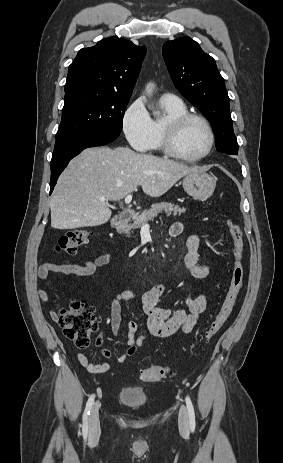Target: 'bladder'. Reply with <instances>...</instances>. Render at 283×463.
<instances>
[{"label":"bladder","instance_id":"31cf9c89","mask_svg":"<svg viewBox=\"0 0 283 463\" xmlns=\"http://www.w3.org/2000/svg\"><path fill=\"white\" fill-rule=\"evenodd\" d=\"M118 400L126 406L141 408L146 405L148 398L142 388L125 386L120 389Z\"/></svg>","mask_w":283,"mask_h":463}]
</instances>
